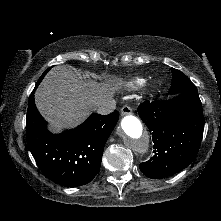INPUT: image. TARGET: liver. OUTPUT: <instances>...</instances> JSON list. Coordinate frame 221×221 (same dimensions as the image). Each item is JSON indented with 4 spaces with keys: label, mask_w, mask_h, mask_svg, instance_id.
I'll return each mask as SVG.
<instances>
[{
    "label": "liver",
    "mask_w": 221,
    "mask_h": 221,
    "mask_svg": "<svg viewBox=\"0 0 221 221\" xmlns=\"http://www.w3.org/2000/svg\"><path fill=\"white\" fill-rule=\"evenodd\" d=\"M123 86L117 79L97 83L72 68L59 65L44 77L35 93L42 116L56 129L73 128Z\"/></svg>",
    "instance_id": "1"
}]
</instances>
